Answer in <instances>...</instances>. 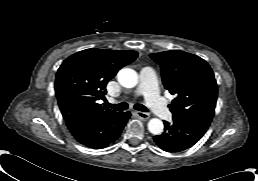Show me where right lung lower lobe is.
Returning a JSON list of instances; mask_svg holds the SVG:
<instances>
[{"mask_svg":"<svg viewBox=\"0 0 258 181\" xmlns=\"http://www.w3.org/2000/svg\"><path fill=\"white\" fill-rule=\"evenodd\" d=\"M130 115V112H117L105 117L84 116L66 125L78 142L101 149L119 138Z\"/></svg>","mask_w":258,"mask_h":181,"instance_id":"1","label":"right lung lower lobe"}]
</instances>
